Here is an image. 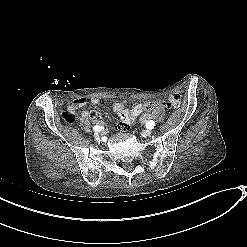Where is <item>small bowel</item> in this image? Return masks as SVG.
<instances>
[{"label": "small bowel", "instance_id": "1", "mask_svg": "<svg viewBox=\"0 0 247 247\" xmlns=\"http://www.w3.org/2000/svg\"><path fill=\"white\" fill-rule=\"evenodd\" d=\"M181 101L180 95L175 93L169 96V102L172 106L177 107L179 106ZM88 102V99L85 97H78L75 99L73 105L69 106L68 110L71 113H75L76 110L82 106H84ZM90 103L92 105H99L100 98L99 97H92L90 99ZM111 109L118 115L119 123L118 126L120 130L127 131L132 124L135 123L137 118L140 117L141 121L146 122L151 119H160L162 116V109L156 108L153 112H144V107L142 104H138L131 109H127L123 103L121 102H114L111 105ZM81 116L83 118H92L94 120L101 119V116L97 111H83L81 112Z\"/></svg>", "mask_w": 247, "mask_h": 247}]
</instances>
